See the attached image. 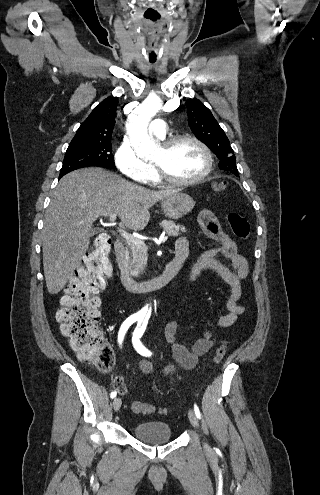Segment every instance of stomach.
<instances>
[{
    "mask_svg": "<svg viewBox=\"0 0 320 495\" xmlns=\"http://www.w3.org/2000/svg\"><path fill=\"white\" fill-rule=\"evenodd\" d=\"M195 206V201L189 195L176 192L162 200V209L169 219H179L189 212Z\"/></svg>",
    "mask_w": 320,
    "mask_h": 495,
    "instance_id": "stomach-1",
    "label": "stomach"
}]
</instances>
